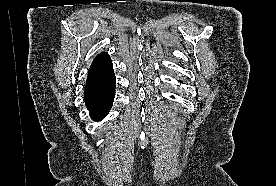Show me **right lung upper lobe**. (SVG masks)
I'll list each match as a JSON object with an SVG mask.
<instances>
[{"label":"right lung upper lobe","instance_id":"obj_1","mask_svg":"<svg viewBox=\"0 0 276 186\" xmlns=\"http://www.w3.org/2000/svg\"><path fill=\"white\" fill-rule=\"evenodd\" d=\"M114 76L111 58L106 52L99 54L92 62L86 84L107 80Z\"/></svg>","mask_w":276,"mask_h":186}]
</instances>
